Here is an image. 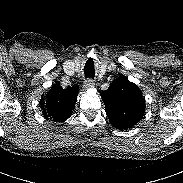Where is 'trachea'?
Instances as JSON below:
<instances>
[{
	"label": "trachea",
	"instance_id": "obj_1",
	"mask_svg": "<svg viewBox=\"0 0 183 183\" xmlns=\"http://www.w3.org/2000/svg\"><path fill=\"white\" fill-rule=\"evenodd\" d=\"M84 74H85V78H94L95 75V69H94V61L93 59H88L85 67H84Z\"/></svg>",
	"mask_w": 183,
	"mask_h": 183
}]
</instances>
